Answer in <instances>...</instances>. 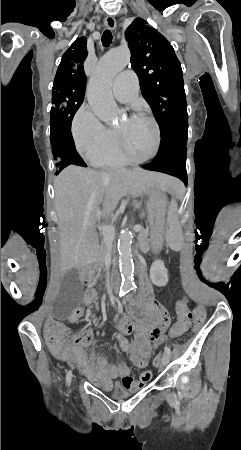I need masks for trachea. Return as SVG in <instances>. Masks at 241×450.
Listing matches in <instances>:
<instances>
[{"label":"trachea","mask_w":241,"mask_h":450,"mask_svg":"<svg viewBox=\"0 0 241 450\" xmlns=\"http://www.w3.org/2000/svg\"><path fill=\"white\" fill-rule=\"evenodd\" d=\"M112 40H113V35H112L111 31L105 30L102 35V38H101L102 44L105 47H109V45L112 43Z\"/></svg>","instance_id":"1"}]
</instances>
